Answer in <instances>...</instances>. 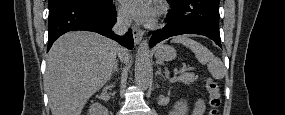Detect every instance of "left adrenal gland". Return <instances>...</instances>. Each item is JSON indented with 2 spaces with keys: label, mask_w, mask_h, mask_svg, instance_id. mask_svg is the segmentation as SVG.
<instances>
[{
  "label": "left adrenal gland",
  "mask_w": 285,
  "mask_h": 115,
  "mask_svg": "<svg viewBox=\"0 0 285 115\" xmlns=\"http://www.w3.org/2000/svg\"><path fill=\"white\" fill-rule=\"evenodd\" d=\"M156 74L162 75V73H161V68H160V67H157Z\"/></svg>",
  "instance_id": "a2214340"
}]
</instances>
